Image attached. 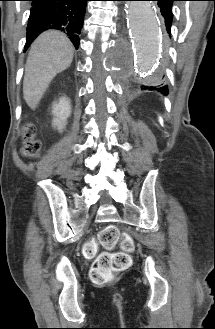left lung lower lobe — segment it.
<instances>
[{
    "mask_svg": "<svg viewBox=\"0 0 215 329\" xmlns=\"http://www.w3.org/2000/svg\"><path fill=\"white\" fill-rule=\"evenodd\" d=\"M158 2V6L160 7V11L162 16L165 19L166 31L171 36V23L173 20V13H172V3L177 0H154ZM149 90H157L161 93L168 94V87L167 85H159L157 87H146Z\"/></svg>",
    "mask_w": 215,
    "mask_h": 329,
    "instance_id": "1",
    "label": "left lung lower lobe"
}]
</instances>
